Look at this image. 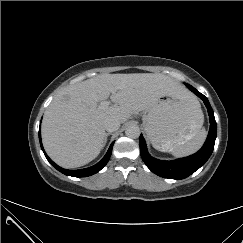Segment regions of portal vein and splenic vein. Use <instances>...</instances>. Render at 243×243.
Listing matches in <instances>:
<instances>
[{"label": "portal vein and splenic vein", "instance_id": "1", "mask_svg": "<svg viewBox=\"0 0 243 243\" xmlns=\"http://www.w3.org/2000/svg\"><path fill=\"white\" fill-rule=\"evenodd\" d=\"M110 103H111L110 101H104V102L101 103V105L103 107H108L110 105Z\"/></svg>", "mask_w": 243, "mask_h": 243}]
</instances>
